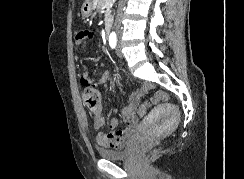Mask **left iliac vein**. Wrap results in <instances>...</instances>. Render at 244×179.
Segmentation results:
<instances>
[{"label": "left iliac vein", "instance_id": "1", "mask_svg": "<svg viewBox=\"0 0 244 179\" xmlns=\"http://www.w3.org/2000/svg\"><path fill=\"white\" fill-rule=\"evenodd\" d=\"M120 49H121V47H120V42H118V44H117V49H116V53H117V55H118L119 57L122 56V55H121V51H120Z\"/></svg>", "mask_w": 244, "mask_h": 179}]
</instances>
